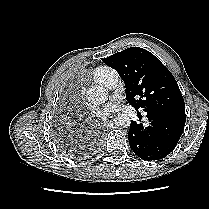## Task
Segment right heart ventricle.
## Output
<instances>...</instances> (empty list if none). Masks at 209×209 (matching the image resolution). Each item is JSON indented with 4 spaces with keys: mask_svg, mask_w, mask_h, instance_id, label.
I'll return each mask as SVG.
<instances>
[{
    "mask_svg": "<svg viewBox=\"0 0 209 209\" xmlns=\"http://www.w3.org/2000/svg\"><path fill=\"white\" fill-rule=\"evenodd\" d=\"M110 68L106 67V66H101L96 68L93 71V78L95 81L99 82L103 76L105 75V73L109 70Z\"/></svg>",
    "mask_w": 209,
    "mask_h": 209,
    "instance_id": "1",
    "label": "right heart ventricle"
}]
</instances>
